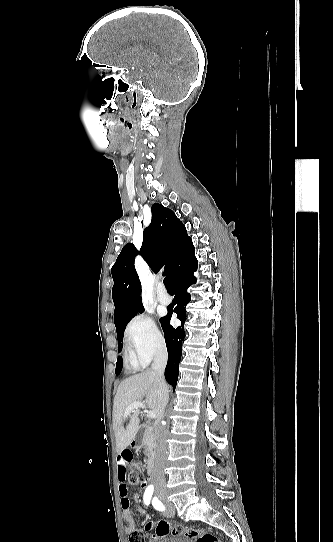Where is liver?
Here are the masks:
<instances>
[{"label": "liver", "mask_w": 333, "mask_h": 542, "mask_svg": "<svg viewBox=\"0 0 333 542\" xmlns=\"http://www.w3.org/2000/svg\"><path fill=\"white\" fill-rule=\"evenodd\" d=\"M157 388L155 378L151 374V368H147L141 374L130 376L121 382L118 386L117 394L113 404V430L115 434L116 452L121 454L127 446H130L132 440H135L139 432V408L132 410L131 414H125L127 408L133 402H141L151 412H157ZM128 420L127 428H124V422Z\"/></svg>", "instance_id": "obj_1"}]
</instances>
